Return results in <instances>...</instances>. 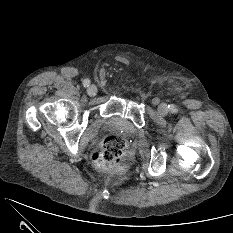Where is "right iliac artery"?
<instances>
[{"mask_svg": "<svg viewBox=\"0 0 233 233\" xmlns=\"http://www.w3.org/2000/svg\"><path fill=\"white\" fill-rule=\"evenodd\" d=\"M82 84H83L84 87H88L90 85V80L85 79Z\"/></svg>", "mask_w": 233, "mask_h": 233, "instance_id": "1", "label": "right iliac artery"}]
</instances>
